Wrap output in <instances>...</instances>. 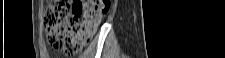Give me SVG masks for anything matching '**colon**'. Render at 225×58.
<instances>
[{"label":"colon","mask_w":225,"mask_h":58,"mask_svg":"<svg viewBox=\"0 0 225 58\" xmlns=\"http://www.w3.org/2000/svg\"><path fill=\"white\" fill-rule=\"evenodd\" d=\"M108 0H51L44 15L49 45L66 55H75L95 35L109 12Z\"/></svg>","instance_id":"1"}]
</instances>
